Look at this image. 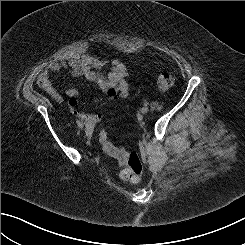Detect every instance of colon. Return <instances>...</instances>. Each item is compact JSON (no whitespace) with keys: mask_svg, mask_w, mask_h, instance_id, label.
<instances>
[{"mask_svg":"<svg viewBox=\"0 0 245 245\" xmlns=\"http://www.w3.org/2000/svg\"><path fill=\"white\" fill-rule=\"evenodd\" d=\"M174 81V77L170 73H161L157 78V87L161 91L169 90L174 85ZM38 84L45 89L50 86V80L47 76L41 74L38 78ZM100 143L104 152L114 157L121 165L119 175L123 181L138 183L142 179V161L136 152H127L124 149L115 147L105 131L100 134Z\"/></svg>","mask_w":245,"mask_h":245,"instance_id":"obj_1","label":"colon"}]
</instances>
